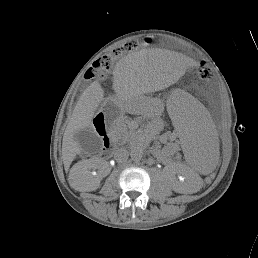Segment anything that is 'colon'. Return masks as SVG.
<instances>
[{
    "label": "colon",
    "mask_w": 258,
    "mask_h": 258,
    "mask_svg": "<svg viewBox=\"0 0 258 258\" xmlns=\"http://www.w3.org/2000/svg\"><path fill=\"white\" fill-rule=\"evenodd\" d=\"M147 41V40H146ZM141 45L140 41H130L123 46L114 49L111 53L101 55L86 72L87 78H104L111 70L114 59L122 52L136 49ZM211 71L206 64H200L197 68V75L201 79L210 77Z\"/></svg>",
    "instance_id": "5ec220e1"
}]
</instances>
